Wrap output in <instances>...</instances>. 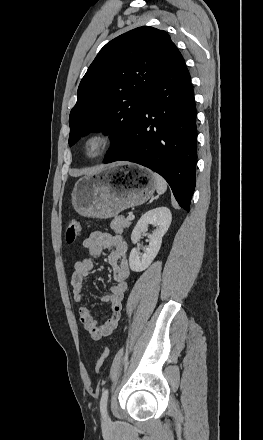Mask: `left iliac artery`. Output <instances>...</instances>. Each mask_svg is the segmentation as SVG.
<instances>
[{
	"instance_id": "1",
	"label": "left iliac artery",
	"mask_w": 263,
	"mask_h": 440,
	"mask_svg": "<svg viewBox=\"0 0 263 440\" xmlns=\"http://www.w3.org/2000/svg\"><path fill=\"white\" fill-rule=\"evenodd\" d=\"M108 394H109L108 389H105L102 393V396H101L100 409L103 413H105V411H106Z\"/></svg>"
}]
</instances>
